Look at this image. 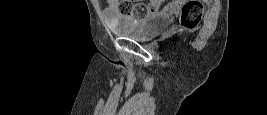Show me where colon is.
<instances>
[{"mask_svg": "<svg viewBox=\"0 0 267 115\" xmlns=\"http://www.w3.org/2000/svg\"><path fill=\"white\" fill-rule=\"evenodd\" d=\"M119 10L126 16L142 18L145 15L158 13L159 7L152 4L137 3L130 0L119 1ZM203 7L198 2H186L180 13V22L185 27L196 26L202 16Z\"/></svg>", "mask_w": 267, "mask_h": 115, "instance_id": "colon-1", "label": "colon"}]
</instances>
